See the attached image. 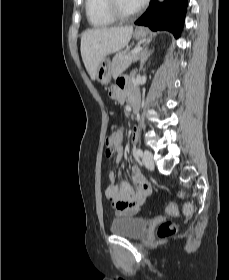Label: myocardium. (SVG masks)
Returning <instances> with one entry per match:
<instances>
[{
	"instance_id": "obj_1",
	"label": "myocardium",
	"mask_w": 229,
	"mask_h": 280,
	"mask_svg": "<svg viewBox=\"0 0 229 280\" xmlns=\"http://www.w3.org/2000/svg\"><path fill=\"white\" fill-rule=\"evenodd\" d=\"M105 8L107 13L115 21H128L134 18L141 10L140 7L131 13L124 12L120 6L119 0H106Z\"/></svg>"
}]
</instances>
